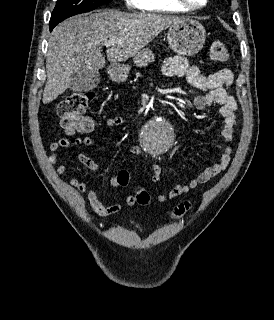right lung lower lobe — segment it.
Wrapping results in <instances>:
<instances>
[{"mask_svg":"<svg viewBox=\"0 0 274 320\" xmlns=\"http://www.w3.org/2000/svg\"><path fill=\"white\" fill-rule=\"evenodd\" d=\"M55 26H56V25H49L50 31H52Z\"/></svg>","mask_w":274,"mask_h":320,"instance_id":"98d812e1","label":"right lung lower lobe"}]
</instances>
